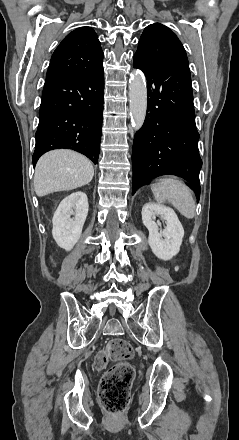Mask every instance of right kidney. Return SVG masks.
<instances>
[{
  "label": "right kidney",
  "instance_id": "1",
  "mask_svg": "<svg viewBox=\"0 0 239 440\" xmlns=\"http://www.w3.org/2000/svg\"><path fill=\"white\" fill-rule=\"evenodd\" d=\"M88 208V198L84 192H73L60 202L52 218V236L58 247L74 248L82 234Z\"/></svg>",
  "mask_w": 239,
  "mask_h": 440
}]
</instances>
